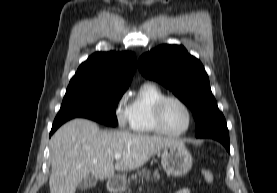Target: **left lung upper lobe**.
I'll use <instances>...</instances> for the list:
<instances>
[{
	"label": "left lung upper lobe",
	"mask_w": 277,
	"mask_h": 193,
	"mask_svg": "<svg viewBox=\"0 0 277 193\" xmlns=\"http://www.w3.org/2000/svg\"><path fill=\"white\" fill-rule=\"evenodd\" d=\"M140 72L170 89L193 112L196 137L227 126L201 62L183 46L162 45L139 58Z\"/></svg>",
	"instance_id": "left-lung-upper-lobe-1"
}]
</instances>
